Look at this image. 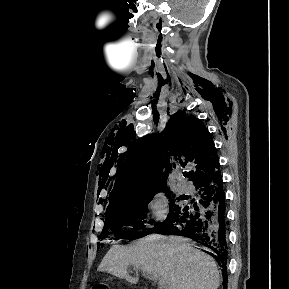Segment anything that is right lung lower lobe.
<instances>
[{"mask_svg": "<svg viewBox=\"0 0 289 289\" xmlns=\"http://www.w3.org/2000/svg\"><path fill=\"white\" fill-rule=\"evenodd\" d=\"M198 199L183 204L170 217L150 231L162 235H180L193 239L211 251L222 268L224 289L227 283V231L225 193L219 170L194 182Z\"/></svg>", "mask_w": 289, "mask_h": 289, "instance_id": "obj_1", "label": "right lung lower lobe"}]
</instances>
